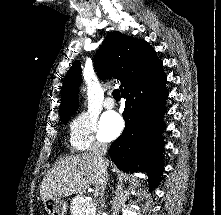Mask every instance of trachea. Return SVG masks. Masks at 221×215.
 Wrapping results in <instances>:
<instances>
[{
    "instance_id": "trachea-1",
    "label": "trachea",
    "mask_w": 221,
    "mask_h": 215,
    "mask_svg": "<svg viewBox=\"0 0 221 215\" xmlns=\"http://www.w3.org/2000/svg\"><path fill=\"white\" fill-rule=\"evenodd\" d=\"M115 100H120V91L119 89H115L112 93Z\"/></svg>"
}]
</instances>
